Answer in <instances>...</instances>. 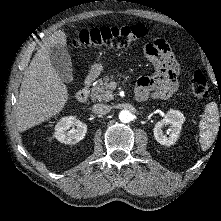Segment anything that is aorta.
I'll list each match as a JSON object with an SVG mask.
<instances>
[{"instance_id":"762f6f07","label":"aorta","mask_w":221,"mask_h":221,"mask_svg":"<svg viewBox=\"0 0 221 221\" xmlns=\"http://www.w3.org/2000/svg\"><path fill=\"white\" fill-rule=\"evenodd\" d=\"M119 119L123 123H128L133 119V115L127 110H122L119 113Z\"/></svg>"}]
</instances>
